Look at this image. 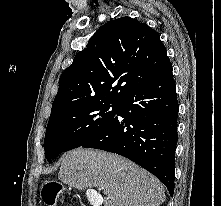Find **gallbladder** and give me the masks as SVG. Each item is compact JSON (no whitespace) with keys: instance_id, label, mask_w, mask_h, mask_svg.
Masks as SVG:
<instances>
[{"instance_id":"bac80fb5","label":"gallbladder","mask_w":221,"mask_h":206,"mask_svg":"<svg viewBox=\"0 0 221 206\" xmlns=\"http://www.w3.org/2000/svg\"><path fill=\"white\" fill-rule=\"evenodd\" d=\"M85 198H90L89 205L91 206H102L100 202H106V197H102V193H92L91 189L87 190Z\"/></svg>"}]
</instances>
